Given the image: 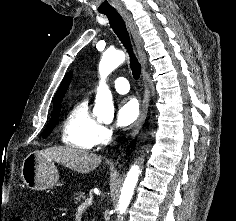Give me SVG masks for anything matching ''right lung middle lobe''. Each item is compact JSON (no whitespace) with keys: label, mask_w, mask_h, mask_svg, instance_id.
Returning <instances> with one entry per match:
<instances>
[{"label":"right lung middle lobe","mask_w":236,"mask_h":221,"mask_svg":"<svg viewBox=\"0 0 236 221\" xmlns=\"http://www.w3.org/2000/svg\"><path fill=\"white\" fill-rule=\"evenodd\" d=\"M59 112H60V104L53 106V112H52V116H51V120L48 123V125L46 126L44 132H43V138H46L54 129L57 121H58V116H59Z\"/></svg>","instance_id":"dd1d6c3e"}]
</instances>
